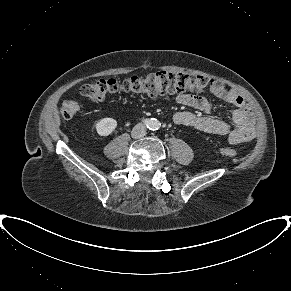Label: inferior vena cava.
<instances>
[{"label": "inferior vena cava", "mask_w": 291, "mask_h": 291, "mask_svg": "<svg viewBox=\"0 0 291 291\" xmlns=\"http://www.w3.org/2000/svg\"><path fill=\"white\" fill-rule=\"evenodd\" d=\"M146 135V127L144 124L139 123L137 124L132 130V136L134 138H142Z\"/></svg>", "instance_id": "inferior-vena-cava-1"}]
</instances>
